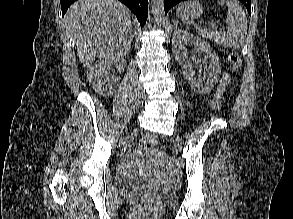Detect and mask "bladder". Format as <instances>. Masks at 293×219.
<instances>
[{
	"instance_id": "31cf9c89",
	"label": "bladder",
	"mask_w": 293,
	"mask_h": 219,
	"mask_svg": "<svg viewBox=\"0 0 293 219\" xmlns=\"http://www.w3.org/2000/svg\"><path fill=\"white\" fill-rule=\"evenodd\" d=\"M146 154H148V152L143 153V155ZM116 185L118 188L125 191H140L150 194L160 203H170L175 198V192L172 188L128 174H119L116 177Z\"/></svg>"
}]
</instances>
